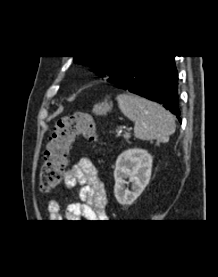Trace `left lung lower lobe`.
I'll return each instance as SVG.
<instances>
[{"mask_svg": "<svg viewBox=\"0 0 218 277\" xmlns=\"http://www.w3.org/2000/svg\"><path fill=\"white\" fill-rule=\"evenodd\" d=\"M107 81L162 104L181 122L174 56H135Z\"/></svg>", "mask_w": 218, "mask_h": 277, "instance_id": "0a47b994", "label": "left lung lower lobe"}]
</instances>
